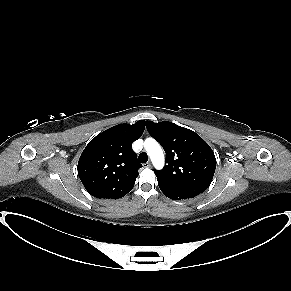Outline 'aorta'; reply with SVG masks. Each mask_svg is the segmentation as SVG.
Masks as SVG:
<instances>
[{
	"instance_id": "1",
	"label": "aorta",
	"mask_w": 291,
	"mask_h": 291,
	"mask_svg": "<svg viewBox=\"0 0 291 291\" xmlns=\"http://www.w3.org/2000/svg\"><path fill=\"white\" fill-rule=\"evenodd\" d=\"M144 145L154 167L156 169H161L164 165V154L159 143L153 138H148L145 140Z\"/></svg>"
}]
</instances>
